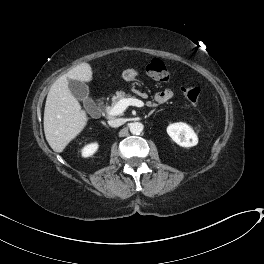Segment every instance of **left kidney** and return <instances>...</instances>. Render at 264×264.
<instances>
[{"mask_svg":"<svg viewBox=\"0 0 264 264\" xmlns=\"http://www.w3.org/2000/svg\"><path fill=\"white\" fill-rule=\"evenodd\" d=\"M167 133L174 142L182 147H192L197 145L198 138L193 129L183 122L170 124Z\"/></svg>","mask_w":264,"mask_h":264,"instance_id":"1","label":"left kidney"}]
</instances>
